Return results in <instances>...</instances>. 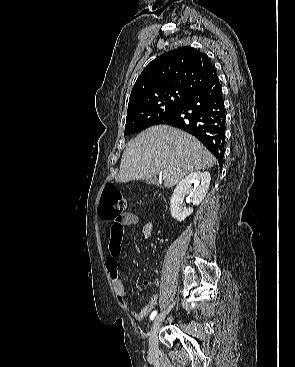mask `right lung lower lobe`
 I'll list each match as a JSON object with an SVG mask.
<instances>
[{"label":"right lung lower lobe","instance_id":"right-lung-lower-lobe-1","mask_svg":"<svg viewBox=\"0 0 295 367\" xmlns=\"http://www.w3.org/2000/svg\"><path fill=\"white\" fill-rule=\"evenodd\" d=\"M225 109L219 79L193 92L174 112L157 121L182 129L200 140L222 168L225 144Z\"/></svg>","mask_w":295,"mask_h":367}]
</instances>
